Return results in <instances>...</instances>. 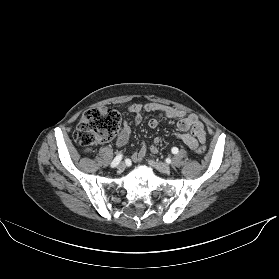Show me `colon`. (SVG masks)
I'll return each instance as SVG.
<instances>
[{"label":"colon","instance_id":"5ec220e1","mask_svg":"<svg viewBox=\"0 0 279 279\" xmlns=\"http://www.w3.org/2000/svg\"><path fill=\"white\" fill-rule=\"evenodd\" d=\"M121 128V115L114 109H90L84 112L77 125L74 138L84 151L115 137ZM194 151L203 154L206 148L196 146Z\"/></svg>","mask_w":279,"mask_h":279}]
</instances>
